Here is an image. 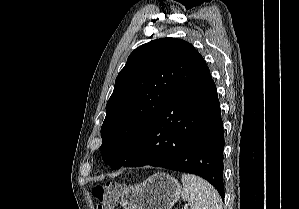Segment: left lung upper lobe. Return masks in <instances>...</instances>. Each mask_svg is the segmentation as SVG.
<instances>
[{
    "instance_id": "obj_1",
    "label": "left lung upper lobe",
    "mask_w": 299,
    "mask_h": 209,
    "mask_svg": "<svg viewBox=\"0 0 299 209\" xmlns=\"http://www.w3.org/2000/svg\"><path fill=\"white\" fill-rule=\"evenodd\" d=\"M188 42L161 38L135 49L118 74L101 127V155L123 165L161 107L205 67Z\"/></svg>"
}]
</instances>
